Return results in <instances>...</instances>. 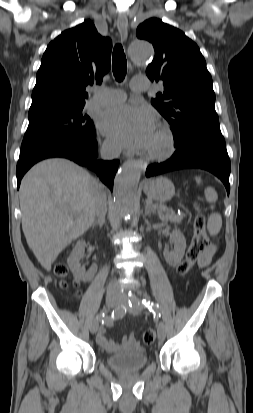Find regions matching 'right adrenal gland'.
<instances>
[{"label":"right adrenal gland","mask_w":253,"mask_h":413,"mask_svg":"<svg viewBox=\"0 0 253 413\" xmlns=\"http://www.w3.org/2000/svg\"><path fill=\"white\" fill-rule=\"evenodd\" d=\"M105 220H97L94 222L93 227L94 226H99L100 228H102L103 224H104Z\"/></svg>","instance_id":"2a0ac1e0"}]
</instances>
